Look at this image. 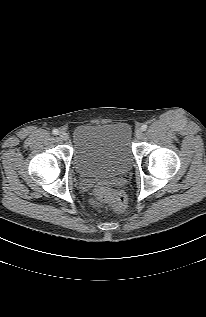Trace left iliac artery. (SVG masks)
<instances>
[{"mask_svg": "<svg viewBox=\"0 0 206 317\" xmlns=\"http://www.w3.org/2000/svg\"><path fill=\"white\" fill-rule=\"evenodd\" d=\"M141 129H142L143 131H146V130H147V125H146V124H143V125L141 126Z\"/></svg>", "mask_w": 206, "mask_h": 317, "instance_id": "1", "label": "left iliac artery"}]
</instances>
